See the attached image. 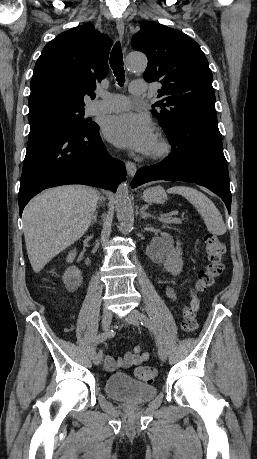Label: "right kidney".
Here are the masks:
<instances>
[{
  "label": "right kidney",
  "mask_w": 257,
  "mask_h": 459,
  "mask_svg": "<svg viewBox=\"0 0 257 459\" xmlns=\"http://www.w3.org/2000/svg\"><path fill=\"white\" fill-rule=\"evenodd\" d=\"M75 256H76V249L69 252L67 256V262L69 263L73 262V260L75 259ZM63 282L66 286V289L69 292L76 291L82 282V276H81L80 270L73 266L67 268L63 276Z\"/></svg>",
  "instance_id": "obj_1"
}]
</instances>
